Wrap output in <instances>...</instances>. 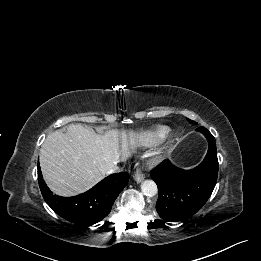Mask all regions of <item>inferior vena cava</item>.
<instances>
[{
	"label": "inferior vena cava",
	"instance_id": "1",
	"mask_svg": "<svg viewBox=\"0 0 261 261\" xmlns=\"http://www.w3.org/2000/svg\"><path fill=\"white\" fill-rule=\"evenodd\" d=\"M120 167H118L117 165L114 166L113 168H111L109 171H108V174H113V173H117V172H120Z\"/></svg>",
	"mask_w": 261,
	"mask_h": 261
}]
</instances>
